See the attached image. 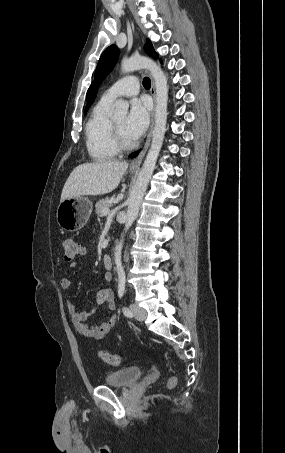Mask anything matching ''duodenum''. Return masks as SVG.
I'll list each match as a JSON object with an SVG mask.
<instances>
[{
	"mask_svg": "<svg viewBox=\"0 0 285 453\" xmlns=\"http://www.w3.org/2000/svg\"><path fill=\"white\" fill-rule=\"evenodd\" d=\"M103 264L107 269L112 268L113 260H112V256L110 254H105L103 256Z\"/></svg>",
	"mask_w": 285,
	"mask_h": 453,
	"instance_id": "410a0bca",
	"label": "duodenum"
}]
</instances>
